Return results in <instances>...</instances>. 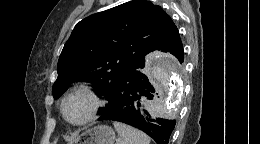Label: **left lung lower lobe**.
I'll list each match as a JSON object with an SVG mask.
<instances>
[{
  "instance_id": "left-lung-lower-lobe-1",
  "label": "left lung lower lobe",
  "mask_w": 260,
  "mask_h": 144,
  "mask_svg": "<svg viewBox=\"0 0 260 144\" xmlns=\"http://www.w3.org/2000/svg\"><path fill=\"white\" fill-rule=\"evenodd\" d=\"M161 51L174 55L180 63L184 60L183 45L179 34L162 47ZM144 62L133 64L118 83L109 107L99 120H113L131 125L151 136L157 144H168L175 127L171 119L156 118L148 110L158 101V93L141 72Z\"/></svg>"
}]
</instances>
